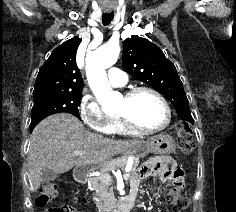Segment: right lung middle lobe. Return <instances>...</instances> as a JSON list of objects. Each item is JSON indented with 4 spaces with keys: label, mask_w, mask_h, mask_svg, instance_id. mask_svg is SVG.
Wrapping results in <instances>:
<instances>
[{
    "label": "right lung middle lobe",
    "mask_w": 236,
    "mask_h": 212,
    "mask_svg": "<svg viewBox=\"0 0 236 212\" xmlns=\"http://www.w3.org/2000/svg\"><path fill=\"white\" fill-rule=\"evenodd\" d=\"M82 92H49L34 96L30 131L45 117L66 112L80 119L78 106Z\"/></svg>",
    "instance_id": "dd1d6c3e"
}]
</instances>
